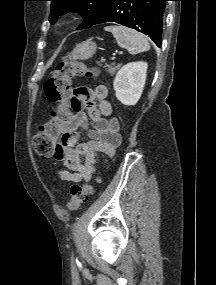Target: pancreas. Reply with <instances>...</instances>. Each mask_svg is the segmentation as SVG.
I'll use <instances>...</instances> for the list:
<instances>
[{"label":"pancreas","instance_id":"cf45deb5","mask_svg":"<svg viewBox=\"0 0 216 285\" xmlns=\"http://www.w3.org/2000/svg\"><path fill=\"white\" fill-rule=\"evenodd\" d=\"M120 66V64L115 65L114 63H112L111 65L107 66V72L111 75H114L116 70H118Z\"/></svg>","mask_w":216,"mask_h":285}]
</instances>
